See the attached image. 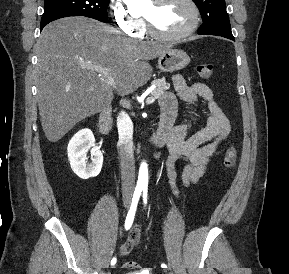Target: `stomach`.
I'll use <instances>...</instances> for the list:
<instances>
[{"label":"stomach","mask_w":289,"mask_h":274,"mask_svg":"<svg viewBox=\"0 0 289 274\" xmlns=\"http://www.w3.org/2000/svg\"><path fill=\"white\" fill-rule=\"evenodd\" d=\"M190 58L186 52L179 49H169L158 58V68L162 72H174L186 67Z\"/></svg>","instance_id":"obj_1"}]
</instances>
